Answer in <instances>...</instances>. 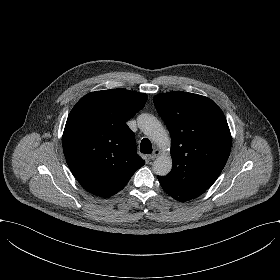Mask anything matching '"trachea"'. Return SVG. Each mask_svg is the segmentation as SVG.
Masks as SVG:
<instances>
[{"instance_id": "obj_1", "label": "trachea", "mask_w": 280, "mask_h": 280, "mask_svg": "<svg viewBox=\"0 0 280 280\" xmlns=\"http://www.w3.org/2000/svg\"><path fill=\"white\" fill-rule=\"evenodd\" d=\"M140 151L144 154L152 153V145L149 139L144 138L141 141Z\"/></svg>"}]
</instances>
